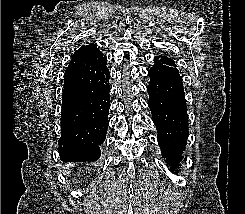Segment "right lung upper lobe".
<instances>
[{
  "label": "right lung upper lobe",
  "instance_id": "right-lung-upper-lobe-1",
  "mask_svg": "<svg viewBox=\"0 0 245 214\" xmlns=\"http://www.w3.org/2000/svg\"><path fill=\"white\" fill-rule=\"evenodd\" d=\"M78 72L80 82L88 85L96 80L102 70L103 61L106 57L97 49L95 44L83 45L79 50Z\"/></svg>",
  "mask_w": 245,
  "mask_h": 214
}]
</instances>
